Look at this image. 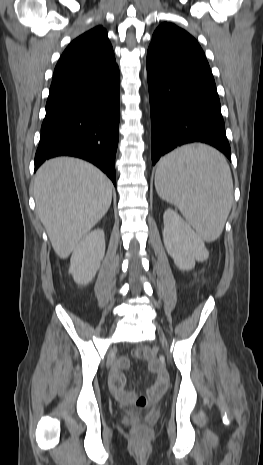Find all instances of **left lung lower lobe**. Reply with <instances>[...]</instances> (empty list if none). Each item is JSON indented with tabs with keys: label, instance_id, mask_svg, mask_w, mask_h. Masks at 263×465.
Here are the masks:
<instances>
[{
	"label": "left lung lower lobe",
	"instance_id": "1",
	"mask_svg": "<svg viewBox=\"0 0 263 465\" xmlns=\"http://www.w3.org/2000/svg\"><path fill=\"white\" fill-rule=\"evenodd\" d=\"M152 163L183 144H209L231 160L215 81L206 58L147 52Z\"/></svg>",
	"mask_w": 263,
	"mask_h": 465
}]
</instances>
